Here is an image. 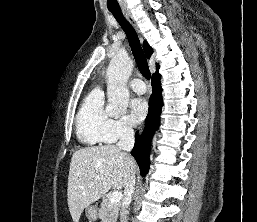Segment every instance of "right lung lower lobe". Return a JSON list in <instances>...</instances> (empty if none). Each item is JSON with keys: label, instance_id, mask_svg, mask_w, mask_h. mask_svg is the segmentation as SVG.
<instances>
[{"label": "right lung lower lobe", "instance_id": "obj_1", "mask_svg": "<svg viewBox=\"0 0 257 222\" xmlns=\"http://www.w3.org/2000/svg\"><path fill=\"white\" fill-rule=\"evenodd\" d=\"M161 75L159 73H154L152 75V95L149 99V111L146 118V126L142 135L138 136L136 133V143L131 151L132 156L136 159L140 173L144 176L149 169V145L150 141L155 133V130L160 124V114L161 107L163 105L162 101V88L160 84Z\"/></svg>", "mask_w": 257, "mask_h": 222}]
</instances>
